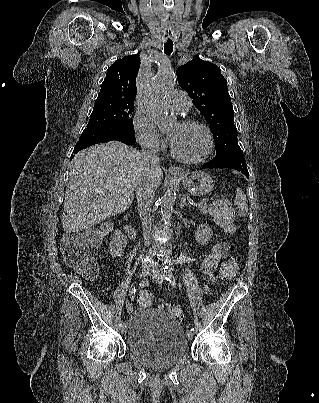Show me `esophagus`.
<instances>
[{
  "label": "esophagus",
  "instance_id": "obj_1",
  "mask_svg": "<svg viewBox=\"0 0 319 403\" xmlns=\"http://www.w3.org/2000/svg\"><path fill=\"white\" fill-rule=\"evenodd\" d=\"M168 172L172 173V174H179L180 173V169L176 166H170L168 168Z\"/></svg>",
  "mask_w": 319,
  "mask_h": 403
}]
</instances>
